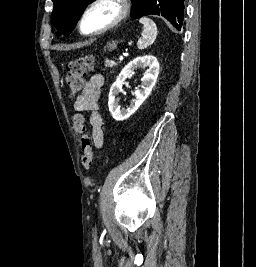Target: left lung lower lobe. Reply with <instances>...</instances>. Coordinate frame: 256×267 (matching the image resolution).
Here are the masks:
<instances>
[{
	"label": "left lung lower lobe",
	"mask_w": 256,
	"mask_h": 267,
	"mask_svg": "<svg viewBox=\"0 0 256 267\" xmlns=\"http://www.w3.org/2000/svg\"><path fill=\"white\" fill-rule=\"evenodd\" d=\"M184 18V0H175V24L174 27L181 30Z\"/></svg>",
	"instance_id": "left-lung-lower-lobe-1"
}]
</instances>
